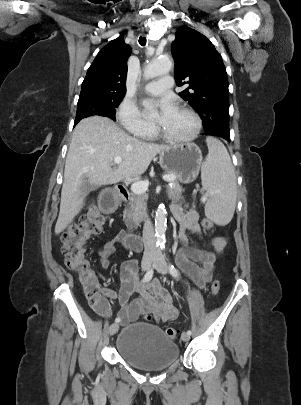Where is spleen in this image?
<instances>
[{
  "instance_id": "3e777b00",
  "label": "spleen",
  "mask_w": 301,
  "mask_h": 405,
  "mask_svg": "<svg viewBox=\"0 0 301 405\" xmlns=\"http://www.w3.org/2000/svg\"><path fill=\"white\" fill-rule=\"evenodd\" d=\"M206 143L209 152L201 169L202 185L209 194L205 213L216 224L227 225L233 218L237 197L234 167L220 140L208 137Z\"/></svg>"
}]
</instances>
